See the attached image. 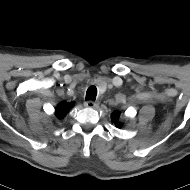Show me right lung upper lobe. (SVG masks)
Instances as JSON below:
<instances>
[{
  "label": "right lung upper lobe",
  "mask_w": 190,
  "mask_h": 190,
  "mask_svg": "<svg viewBox=\"0 0 190 190\" xmlns=\"http://www.w3.org/2000/svg\"><path fill=\"white\" fill-rule=\"evenodd\" d=\"M74 105V103H68L66 101L61 102L58 104L56 110H55V115L62 119L69 111V109Z\"/></svg>",
  "instance_id": "cb5924a9"
}]
</instances>
